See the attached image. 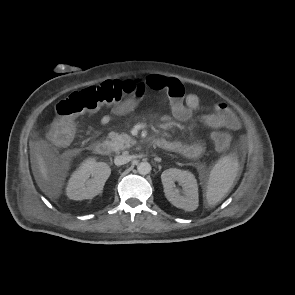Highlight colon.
<instances>
[{
  "mask_svg": "<svg viewBox=\"0 0 295 295\" xmlns=\"http://www.w3.org/2000/svg\"><path fill=\"white\" fill-rule=\"evenodd\" d=\"M135 91V81L127 79L105 81L71 93L56 107L58 118L48 133L50 140L60 146L69 144L74 134L73 118L85 112L96 111L103 106L117 105L133 96ZM212 141L221 151L237 146L226 132L213 133Z\"/></svg>",
  "mask_w": 295,
  "mask_h": 295,
  "instance_id": "5ec220e1",
  "label": "colon"
}]
</instances>
